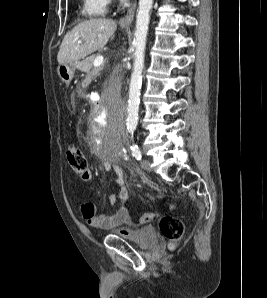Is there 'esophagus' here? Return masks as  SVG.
I'll return each instance as SVG.
<instances>
[{"instance_id":"34e87169","label":"esophagus","mask_w":267,"mask_h":298,"mask_svg":"<svg viewBox=\"0 0 267 298\" xmlns=\"http://www.w3.org/2000/svg\"><path fill=\"white\" fill-rule=\"evenodd\" d=\"M136 3H134L127 11V13L120 19L119 24L121 26H129L135 15Z\"/></svg>"}]
</instances>
